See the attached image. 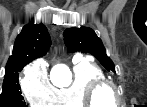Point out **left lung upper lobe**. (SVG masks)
I'll return each instance as SVG.
<instances>
[{"label":"left lung upper lobe","instance_id":"left-lung-upper-lobe-1","mask_svg":"<svg viewBox=\"0 0 147 107\" xmlns=\"http://www.w3.org/2000/svg\"><path fill=\"white\" fill-rule=\"evenodd\" d=\"M64 41L68 51H82L92 54L108 71L115 72L112 60L107 56L101 39L93 29L88 27L67 28L64 33Z\"/></svg>","mask_w":147,"mask_h":107}]
</instances>
